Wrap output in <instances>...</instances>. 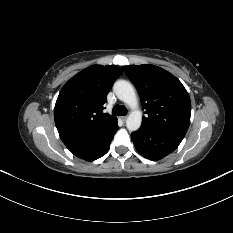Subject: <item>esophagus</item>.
I'll return each mask as SVG.
<instances>
[{"label":"esophagus","instance_id":"esophagus-1","mask_svg":"<svg viewBox=\"0 0 233 233\" xmlns=\"http://www.w3.org/2000/svg\"><path fill=\"white\" fill-rule=\"evenodd\" d=\"M121 119H122L123 121H126L127 116H122Z\"/></svg>","mask_w":233,"mask_h":233}]
</instances>
